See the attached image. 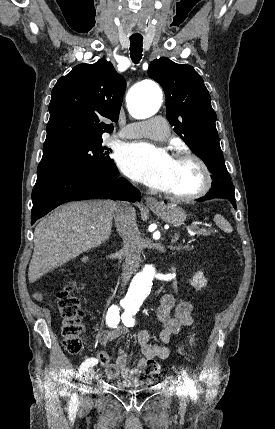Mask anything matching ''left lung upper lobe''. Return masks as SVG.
Wrapping results in <instances>:
<instances>
[{"mask_svg":"<svg viewBox=\"0 0 275 429\" xmlns=\"http://www.w3.org/2000/svg\"><path fill=\"white\" fill-rule=\"evenodd\" d=\"M148 75L164 89L167 118L174 131L201 158L212 174V187L234 189L216 130V113L202 77L190 65L166 57L150 63Z\"/></svg>","mask_w":275,"mask_h":429,"instance_id":"5c2ea615","label":"left lung upper lobe"}]
</instances>
